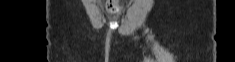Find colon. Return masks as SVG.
<instances>
[{
  "mask_svg": "<svg viewBox=\"0 0 235 62\" xmlns=\"http://www.w3.org/2000/svg\"><path fill=\"white\" fill-rule=\"evenodd\" d=\"M107 10L110 13H117L119 11V2H118V0H108L107 1Z\"/></svg>",
  "mask_w": 235,
  "mask_h": 62,
  "instance_id": "5ec220e1",
  "label": "colon"
}]
</instances>
